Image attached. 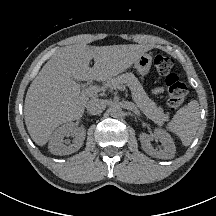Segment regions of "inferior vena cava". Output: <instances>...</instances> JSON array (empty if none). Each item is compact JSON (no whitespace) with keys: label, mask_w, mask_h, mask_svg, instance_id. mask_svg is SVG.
Masks as SVG:
<instances>
[{"label":"inferior vena cava","mask_w":216,"mask_h":216,"mask_svg":"<svg viewBox=\"0 0 216 216\" xmlns=\"http://www.w3.org/2000/svg\"><path fill=\"white\" fill-rule=\"evenodd\" d=\"M104 109L105 104L100 99H91L86 104V110L90 115L100 114Z\"/></svg>","instance_id":"602c4592"}]
</instances>
